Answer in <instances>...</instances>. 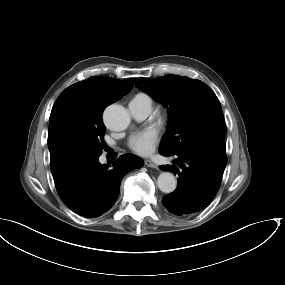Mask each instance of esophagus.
<instances>
[{
    "label": "esophagus",
    "instance_id": "1",
    "mask_svg": "<svg viewBox=\"0 0 285 285\" xmlns=\"http://www.w3.org/2000/svg\"><path fill=\"white\" fill-rule=\"evenodd\" d=\"M144 164H145V166L151 167V168H157L158 167L157 164H155L154 162H152L149 159L144 160Z\"/></svg>",
    "mask_w": 285,
    "mask_h": 285
}]
</instances>
